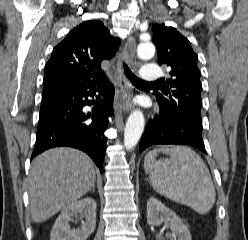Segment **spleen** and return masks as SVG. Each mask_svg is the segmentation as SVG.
I'll return each mask as SVG.
<instances>
[{
    "instance_id": "spleen-1",
    "label": "spleen",
    "mask_w": 248,
    "mask_h": 240,
    "mask_svg": "<svg viewBox=\"0 0 248 240\" xmlns=\"http://www.w3.org/2000/svg\"><path fill=\"white\" fill-rule=\"evenodd\" d=\"M158 153L169 159L156 160ZM144 169L149 174L153 189L160 195L187 205L199 214L213 207L216 192L202 158L186 146L162 147L149 151L144 158Z\"/></svg>"
}]
</instances>
